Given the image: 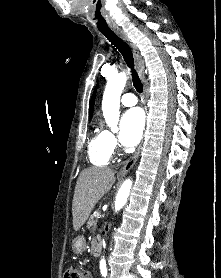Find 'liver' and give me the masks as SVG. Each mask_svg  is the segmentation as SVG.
Masks as SVG:
<instances>
[{"label":"liver","instance_id":"1","mask_svg":"<svg viewBox=\"0 0 221 278\" xmlns=\"http://www.w3.org/2000/svg\"><path fill=\"white\" fill-rule=\"evenodd\" d=\"M115 183V172L107 167L84 169L77 180L72 202L73 228L78 231L96 203Z\"/></svg>","mask_w":221,"mask_h":278}]
</instances>
